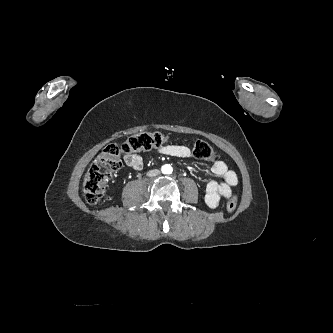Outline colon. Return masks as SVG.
<instances>
[{
	"instance_id": "1",
	"label": "colon",
	"mask_w": 333,
	"mask_h": 333,
	"mask_svg": "<svg viewBox=\"0 0 333 333\" xmlns=\"http://www.w3.org/2000/svg\"><path fill=\"white\" fill-rule=\"evenodd\" d=\"M167 137L159 132H141L130 136L121 146L110 144L97 157L89 168L83 182V193L86 201L96 204L104 196L108 179L121 167L122 155L149 151L164 145ZM193 155L200 160L214 162L218 160L213 148L203 140H195L192 145ZM237 198L230 195L227 210L234 212Z\"/></svg>"
}]
</instances>
